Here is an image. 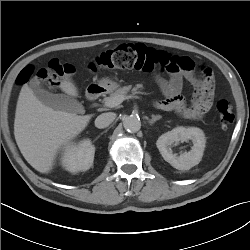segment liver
<instances>
[{
  "instance_id": "liver-1",
  "label": "liver",
  "mask_w": 250,
  "mask_h": 250,
  "mask_svg": "<svg viewBox=\"0 0 250 250\" xmlns=\"http://www.w3.org/2000/svg\"><path fill=\"white\" fill-rule=\"evenodd\" d=\"M60 88L70 96H78L77 88L69 80L61 81ZM91 117L44 105L26 84L16 106L15 140L23 157L34 169L49 173L58 152L87 127Z\"/></svg>"
}]
</instances>
